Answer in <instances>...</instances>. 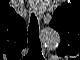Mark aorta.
Masks as SVG:
<instances>
[{
  "label": "aorta",
  "mask_w": 80,
  "mask_h": 60,
  "mask_svg": "<svg viewBox=\"0 0 80 60\" xmlns=\"http://www.w3.org/2000/svg\"><path fill=\"white\" fill-rule=\"evenodd\" d=\"M46 36L49 37V38H53L54 39V43H56L57 45L60 42L59 35L56 34V33H52V34L51 33H48ZM50 43L51 42H48V45H51Z\"/></svg>",
  "instance_id": "aorta-1"
}]
</instances>
